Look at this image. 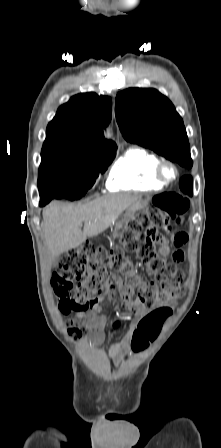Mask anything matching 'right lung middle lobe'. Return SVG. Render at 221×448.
Returning <instances> with one entry per match:
<instances>
[{
	"mask_svg": "<svg viewBox=\"0 0 221 448\" xmlns=\"http://www.w3.org/2000/svg\"><path fill=\"white\" fill-rule=\"evenodd\" d=\"M115 155H86L64 148L42 150L38 178L40 200L80 199L98 175L106 171Z\"/></svg>",
	"mask_w": 221,
	"mask_h": 448,
	"instance_id": "1",
	"label": "right lung middle lobe"
}]
</instances>
